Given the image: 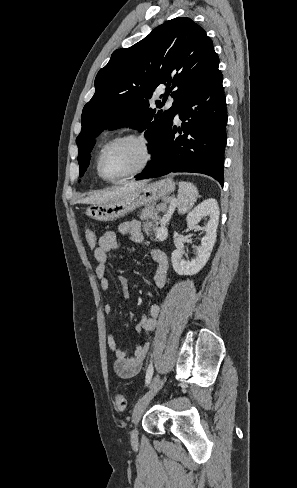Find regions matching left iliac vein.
Wrapping results in <instances>:
<instances>
[{
    "instance_id": "4c4485c4",
    "label": "left iliac vein",
    "mask_w": 297,
    "mask_h": 488,
    "mask_svg": "<svg viewBox=\"0 0 297 488\" xmlns=\"http://www.w3.org/2000/svg\"><path fill=\"white\" fill-rule=\"evenodd\" d=\"M165 381H166L165 377L158 381H153L150 386V389L137 402L132 413V422L135 425L139 422L148 404L153 399V397L158 393V391L162 388ZM131 443L133 446H137L138 444V431L136 428L131 431Z\"/></svg>"
}]
</instances>
